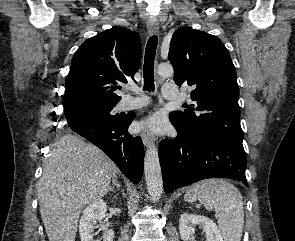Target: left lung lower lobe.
<instances>
[{
	"instance_id": "0a47b994",
	"label": "left lung lower lobe",
	"mask_w": 295,
	"mask_h": 241,
	"mask_svg": "<svg viewBox=\"0 0 295 241\" xmlns=\"http://www.w3.org/2000/svg\"><path fill=\"white\" fill-rule=\"evenodd\" d=\"M178 135L159 145L165 193L207 178H230L248 186L244 176L247 159L242 142L222 136H186L170 116Z\"/></svg>"
}]
</instances>
